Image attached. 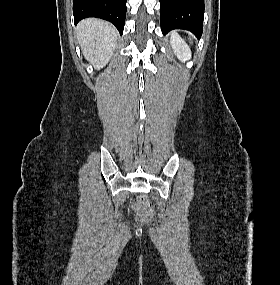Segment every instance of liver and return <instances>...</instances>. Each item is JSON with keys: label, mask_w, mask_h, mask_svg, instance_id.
I'll return each mask as SVG.
<instances>
[{"label": "liver", "mask_w": 280, "mask_h": 285, "mask_svg": "<svg viewBox=\"0 0 280 285\" xmlns=\"http://www.w3.org/2000/svg\"><path fill=\"white\" fill-rule=\"evenodd\" d=\"M76 30L85 59L97 69L105 67L117 44L115 27L106 21L89 18L82 20Z\"/></svg>", "instance_id": "6515ba94"}]
</instances>
